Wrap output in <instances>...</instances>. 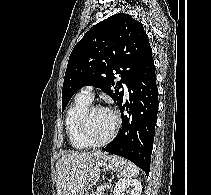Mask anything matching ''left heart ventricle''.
<instances>
[{
    "label": "left heart ventricle",
    "instance_id": "b2bd125f",
    "mask_svg": "<svg viewBox=\"0 0 211 195\" xmlns=\"http://www.w3.org/2000/svg\"><path fill=\"white\" fill-rule=\"evenodd\" d=\"M115 124L114 116L107 110L93 112L88 120L87 133L91 140L99 142L105 139Z\"/></svg>",
    "mask_w": 211,
    "mask_h": 195
}]
</instances>
